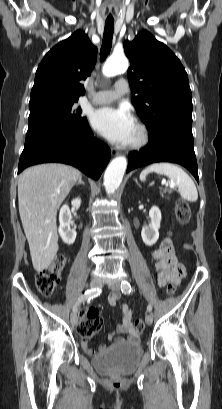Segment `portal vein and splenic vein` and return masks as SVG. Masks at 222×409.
<instances>
[{
    "label": "portal vein and splenic vein",
    "instance_id": "obj_1",
    "mask_svg": "<svg viewBox=\"0 0 222 409\" xmlns=\"http://www.w3.org/2000/svg\"><path fill=\"white\" fill-rule=\"evenodd\" d=\"M162 184H166V182H165V181H163V183H162ZM170 186L173 188V185H171V184H170Z\"/></svg>",
    "mask_w": 222,
    "mask_h": 409
}]
</instances>
